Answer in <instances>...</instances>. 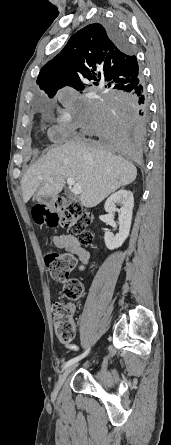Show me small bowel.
<instances>
[{
	"instance_id": "small-bowel-1",
	"label": "small bowel",
	"mask_w": 171,
	"mask_h": 445,
	"mask_svg": "<svg viewBox=\"0 0 171 445\" xmlns=\"http://www.w3.org/2000/svg\"><path fill=\"white\" fill-rule=\"evenodd\" d=\"M52 241L55 247L64 249L78 258L80 262L78 267L79 271H84L86 269L90 260V254L81 245L77 237L72 234L53 235ZM69 348L71 350L77 349L75 346H69Z\"/></svg>"
}]
</instances>
